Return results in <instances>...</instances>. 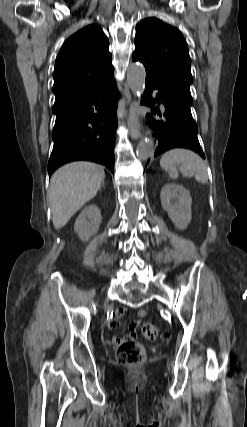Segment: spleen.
Listing matches in <instances>:
<instances>
[{
  "label": "spleen",
  "instance_id": "3e777b00",
  "mask_svg": "<svg viewBox=\"0 0 247 427\" xmlns=\"http://www.w3.org/2000/svg\"><path fill=\"white\" fill-rule=\"evenodd\" d=\"M160 166L168 171L169 177H178L177 166L186 177L194 176L201 184L208 182L207 165L199 155L191 150L175 148L163 154Z\"/></svg>",
  "mask_w": 247,
  "mask_h": 427
}]
</instances>
